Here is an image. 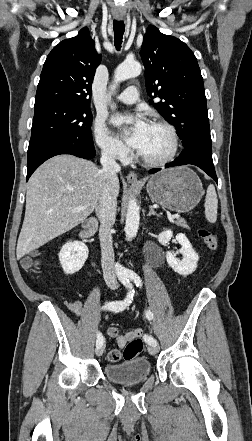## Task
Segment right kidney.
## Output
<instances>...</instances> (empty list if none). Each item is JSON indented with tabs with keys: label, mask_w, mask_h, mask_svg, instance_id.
I'll list each match as a JSON object with an SVG mask.
<instances>
[{
	"label": "right kidney",
	"mask_w": 252,
	"mask_h": 441,
	"mask_svg": "<svg viewBox=\"0 0 252 441\" xmlns=\"http://www.w3.org/2000/svg\"><path fill=\"white\" fill-rule=\"evenodd\" d=\"M88 247L80 241L64 244L59 253V261L65 274L78 272L88 258Z\"/></svg>",
	"instance_id": "obj_1"
}]
</instances>
